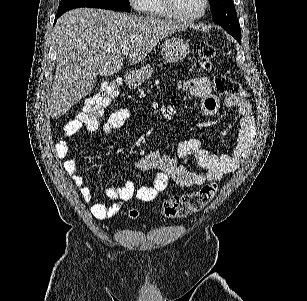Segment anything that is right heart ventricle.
<instances>
[{
  "instance_id": "e07e8e85",
  "label": "right heart ventricle",
  "mask_w": 307,
  "mask_h": 301,
  "mask_svg": "<svg viewBox=\"0 0 307 301\" xmlns=\"http://www.w3.org/2000/svg\"><path fill=\"white\" fill-rule=\"evenodd\" d=\"M145 1V8H164L163 0H144ZM157 17H166L167 12L166 10H157L156 12Z\"/></svg>"
}]
</instances>
